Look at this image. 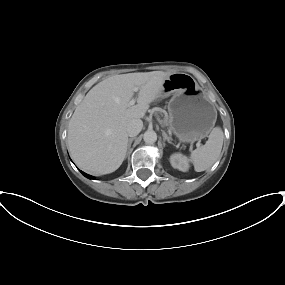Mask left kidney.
Returning a JSON list of instances; mask_svg holds the SVG:
<instances>
[{"label":"left kidney","mask_w":285,"mask_h":285,"mask_svg":"<svg viewBox=\"0 0 285 285\" xmlns=\"http://www.w3.org/2000/svg\"><path fill=\"white\" fill-rule=\"evenodd\" d=\"M170 163L173 168H176L183 172H186L189 169V163L187 157L179 153L173 154L170 157Z\"/></svg>","instance_id":"obj_1"}]
</instances>
